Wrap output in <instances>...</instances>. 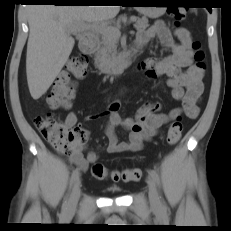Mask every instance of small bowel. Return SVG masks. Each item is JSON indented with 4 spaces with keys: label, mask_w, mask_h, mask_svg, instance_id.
<instances>
[{
    "label": "small bowel",
    "mask_w": 231,
    "mask_h": 231,
    "mask_svg": "<svg viewBox=\"0 0 231 231\" xmlns=\"http://www.w3.org/2000/svg\"><path fill=\"white\" fill-rule=\"evenodd\" d=\"M154 38H157L165 49L170 50V55L160 60L147 59L140 63L137 69L151 79L167 77L166 83L171 88L172 98L180 102L181 107L169 113H160V103L148 102L138 110L135 117L124 118L120 114L121 102L112 101L105 112L109 116L106 129L108 153L137 152L146 140L157 134L160 128L170 120L182 113L190 119H195L199 114L198 103L204 90L203 72L193 64L189 31L181 27L172 31L163 21L158 20L149 29L138 34L136 46L143 47ZM77 121V115L70 112L63 123L73 127ZM117 127L128 132V138L125 141L118 140L115 132ZM84 149L83 141L69 149L56 148L59 153L68 152V160L81 171H86L89 164L99 159L95 151L88 152L84 157Z\"/></svg>",
    "instance_id": "obj_1"
}]
</instances>
